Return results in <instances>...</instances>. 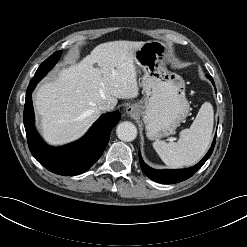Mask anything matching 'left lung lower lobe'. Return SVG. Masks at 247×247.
<instances>
[{
    "mask_svg": "<svg viewBox=\"0 0 247 247\" xmlns=\"http://www.w3.org/2000/svg\"><path fill=\"white\" fill-rule=\"evenodd\" d=\"M209 80L213 83L214 81L211 76L206 75ZM215 140L216 135L214 137V140L212 142L211 148L205 155V157L195 166L187 168V169H179V170H155L147 166L144 161L142 160L141 154L139 152V158H140V166L143 171V173L148 176L150 179L163 183V184H173L178 183L181 181H184L188 178H190L193 174H195L202 165L206 162V160L211 156L214 146H215Z\"/></svg>",
    "mask_w": 247,
    "mask_h": 247,
    "instance_id": "0a47b994",
    "label": "left lung lower lobe"
}]
</instances>
